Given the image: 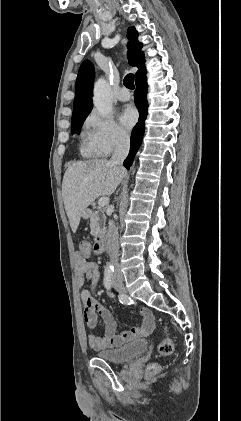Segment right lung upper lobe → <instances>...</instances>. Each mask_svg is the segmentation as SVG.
<instances>
[{
	"instance_id": "1",
	"label": "right lung upper lobe",
	"mask_w": 241,
	"mask_h": 421,
	"mask_svg": "<svg viewBox=\"0 0 241 421\" xmlns=\"http://www.w3.org/2000/svg\"><path fill=\"white\" fill-rule=\"evenodd\" d=\"M127 58L131 66H137L138 73L144 68V55L141 52L142 44L138 42V33L135 27H129L127 31ZM94 81V68L89 61H84L78 71L76 79V96L72 118L88 115L92 108V90Z\"/></svg>"
}]
</instances>
